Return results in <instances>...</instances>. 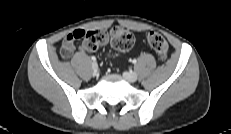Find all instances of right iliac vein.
Wrapping results in <instances>:
<instances>
[{"instance_id":"1","label":"right iliac vein","mask_w":231,"mask_h":134,"mask_svg":"<svg viewBox=\"0 0 231 134\" xmlns=\"http://www.w3.org/2000/svg\"><path fill=\"white\" fill-rule=\"evenodd\" d=\"M92 70L94 75L98 72V65L96 62L92 63Z\"/></svg>"}]
</instances>
